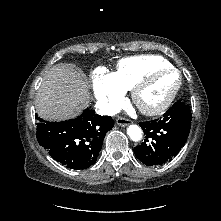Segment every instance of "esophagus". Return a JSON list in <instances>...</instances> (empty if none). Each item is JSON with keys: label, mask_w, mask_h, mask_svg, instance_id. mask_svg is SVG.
Listing matches in <instances>:
<instances>
[{"label": "esophagus", "mask_w": 221, "mask_h": 221, "mask_svg": "<svg viewBox=\"0 0 221 221\" xmlns=\"http://www.w3.org/2000/svg\"><path fill=\"white\" fill-rule=\"evenodd\" d=\"M116 123H117V125H119V126L125 127V126H128V125L130 124V121H129L128 119L119 117V118L116 120Z\"/></svg>", "instance_id": "esophagus-1"}]
</instances>
